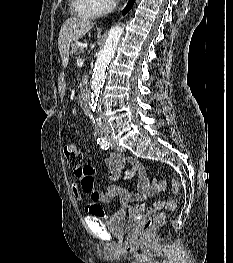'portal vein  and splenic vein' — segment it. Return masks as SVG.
I'll list each match as a JSON object with an SVG mask.
<instances>
[{
    "label": "portal vein and splenic vein",
    "mask_w": 233,
    "mask_h": 263,
    "mask_svg": "<svg viewBox=\"0 0 233 263\" xmlns=\"http://www.w3.org/2000/svg\"><path fill=\"white\" fill-rule=\"evenodd\" d=\"M78 63H79L80 65H82V64H83V60H82V59H79V60H78Z\"/></svg>",
    "instance_id": "1"
}]
</instances>
